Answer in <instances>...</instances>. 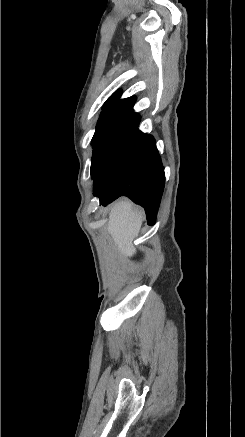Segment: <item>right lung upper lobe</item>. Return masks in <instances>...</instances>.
<instances>
[{
    "label": "right lung upper lobe",
    "instance_id": "obj_1",
    "mask_svg": "<svg viewBox=\"0 0 245 437\" xmlns=\"http://www.w3.org/2000/svg\"><path fill=\"white\" fill-rule=\"evenodd\" d=\"M121 91L115 92L104 104V107L107 106H120L133 109V106L136 102V97H128L126 99H120Z\"/></svg>",
    "mask_w": 245,
    "mask_h": 437
}]
</instances>
